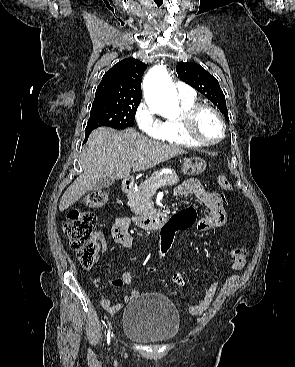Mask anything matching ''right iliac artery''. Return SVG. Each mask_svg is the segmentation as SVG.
<instances>
[{
    "label": "right iliac artery",
    "instance_id": "82829eb1",
    "mask_svg": "<svg viewBox=\"0 0 295 367\" xmlns=\"http://www.w3.org/2000/svg\"><path fill=\"white\" fill-rule=\"evenodd\" d=\"M107 343L108 344L110 343V331H108V334H107Z\"/></svg>",
    "mask_w": 295,
    "mask_h": 367
}]
</instances>
